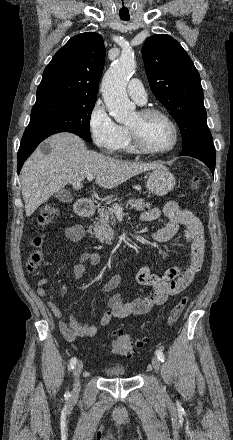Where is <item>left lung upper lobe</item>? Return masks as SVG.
I'll return each instance as SVG.
<instances>
[{
  "mask_svg": "<svg viewBox=\"0 0 233 440\" xmlns=\"http://www.w3.org/2000/svg\"><path fill=\"white\" fill-rule=\"evenodd\" d=\"M142 56L155 97L180 128L183 150L212 141L200 76L182 46L171 36L158 34L147 38Z\"/></svg>",
  "mask_w": 233,
  "mask_h": 440,
  "instance_id": "left-lung-upper-lobe-1",
  "label": "left lung upper lobe"
}]
</instances>
